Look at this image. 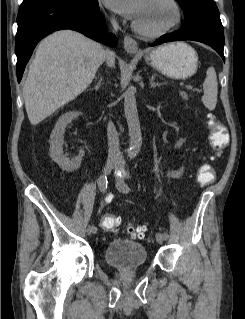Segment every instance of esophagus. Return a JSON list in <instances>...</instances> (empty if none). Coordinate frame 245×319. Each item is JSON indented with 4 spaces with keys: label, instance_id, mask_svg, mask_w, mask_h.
Masks as SVG:
<instances>
[{
    "label": "esophagus",
    "instance_id": "esophagus-1",
    "mask_svg": "<svg viewBox=\"0 0 245 319\" xmlns=\"http://www.w3.org/2000/svg\"><path fill=\"white\" fill-rule=\"evenodd\" d=\"M124 48L128 53L131 54H137L140 53V49L138 46V43L136 42L135 39H133L129 35H125L124 40H123Z\"/></svg>",
    "mask_w": 245,
    "mask_h": 319
}]
</instances>
